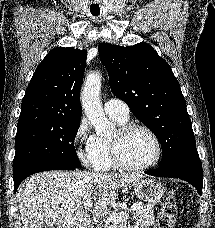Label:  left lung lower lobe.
Segmentation results:
<instances>
[{
  "instance_id": "0a47b994",
  "label": "left lung lower lobe",
  "mask_w": 215,
  "mask_h": 228,
  "mask_svg": "<svg viewBox=\"0 0 215 228\" xmlns=\"http://www.w3.org/2000/svg\"><path fill=\"white\" fill-rule=\"evenodd\" d=\"M157 177H172L183 179L192 184L202 195L203 173L202 165L196 149L188 150L157 169L145 172Z\"/></svg>"
}]
</instances>
